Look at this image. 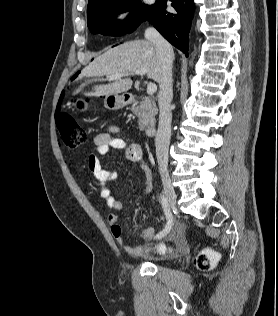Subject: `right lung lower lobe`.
<instances>
[{"mask_svg": "<svg viewBox=\"0 0 278 316\" xmlns=\"http://www.w3.org/2000/svg\"><path fill=\"white\" fill-rule=\"evenodd\" d=\"M176 14L165 11L167 0H157L149 16V21L171 44L188 56V33L193 12V0H171Z\"/></svg>", "mask_w": 278, "mask_h": 316, "instance_id": "obj_1", "label": "right lung lower lobe"}]
</instances>
